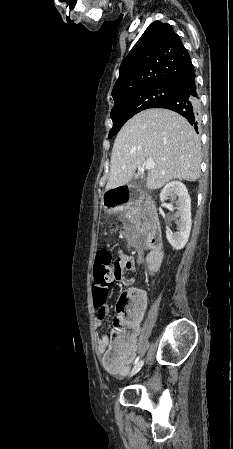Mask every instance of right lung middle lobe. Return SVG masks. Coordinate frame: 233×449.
Masks as SVG:
<instances>
[{
	"mask_svg": "<svg viewBox=\"0 0 233 449\" xmlns=\"http://www.w3.org/2000/svg\"><path fill=\"white\" fill-rule=\"evenodd\" d=\"M172 94L170 85H152L114 99L115 104L111 110L113 128L109 138L117 134L124 123L138 112L154 108Z\"/></svg>",
	"mask_w": 233,
	"mask_h": 449,
	"instance_id": "dd1d6c3e",
	"label": "right lung middle lobe"
}]
</instances>
